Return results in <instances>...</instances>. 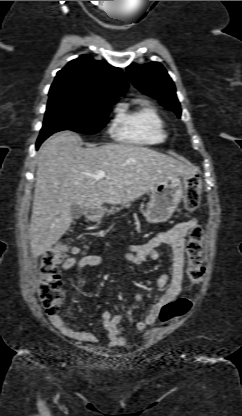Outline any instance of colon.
I'll list each match as a JSON object with an SVG mask.
<instances>
[{
  "instance_id": "obj_1",
  "label": "colon",
  "mask_w": 242,
  "mask_h": 416,
  "mask_svg": "<svg viewBox=\"0 0 242 416\" xmlns=\"http://www.w3.org/2000/svg\"><path fill=\"white\" fill-rule=\"evenodd\" d=\"M201 179L194 175L185 183V207L194 212L200 204ZM70 252L66 243H58L44 252L40 260V282L38 295L43 308L50 316L59 315L64 298V289L59 273V264ZM188 260V278L192 284H198L203 278V229L194 226L189 231L186 244ZM192 307V300L182 297L165 304L160 311L161 322L166 323L186 315Z\"/></svg>"
}]
</instances>
